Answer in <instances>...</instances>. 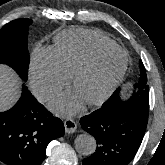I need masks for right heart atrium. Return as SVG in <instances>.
Returning a JSON list of instances; mask_svg holds the SVG:
<instances>
[{
	"label": "right heart atrium",
	"mask_w": 165,
	"mask_h": 165,
	"mask_svg": "<svg viewBox=\"0 0 165 165\" xmlns=\"http://www.w3.org/2000/svg\"><path fill=\"white\" fill-rule=\"evenodd\" d=\"M68 80V74L59 65L51 49L39 47L34 50L30 83L39 98L49 99L65 86Z\"/></svg>",
	"instance_id": "right-heart-atrium-1"
}]
</instances>
